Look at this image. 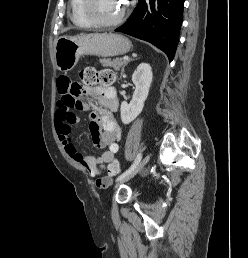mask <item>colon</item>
<instances>
[{
	"mask_svg": "<svg viewBox=\"0 0 248 258\" xmlns=\"http://www.w3.org/2000/svg\"><path fill=\"white\" fill-rule=\"evenodd\" d=\"M81 84H73L70 88L75 97H79L82 88L92 86H108L114 81V73L109 69L96 70L88 67L80 74ZM109 176L114 177L120 172V165L117 160L112 161L109 166Z\"/></svg>",
	"mask_w": 248,
	"mask_h": 258,
	"instance_id": "5ec220e1",
	"label": "colon"
}]
</instances>
